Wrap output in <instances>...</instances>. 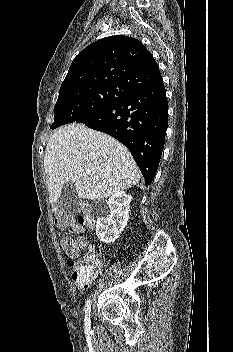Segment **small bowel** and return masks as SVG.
<instances>
[{"mask_svg": "<svg viewBox=\"0 0 233 352\" xmlns=\"http://www.w3.org/2000/svg\"><path fill=\"white\" fill-rule=\"evenodd\" d=\"M68 265L69 267L72 269V261H69L68 262ZM98 275V274H97ZM97 275H95L94 277L86 280V281H83V280H79V279H76L74 277L73 278V282L74 284L80 289V290H86L90 287L92 281L97 277Z\"/></svg>", "mask_w": 233, "mask_h": 352, "instance_id": "obj_1", "label": "small bowel"}]
</instances>
